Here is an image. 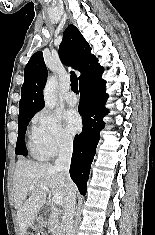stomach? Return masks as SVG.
Listing matches in <instances>:
<instances>
[{"mask_svg":"<svg viewBox=\"0 0 155 235\" xmlns=\"http://www.w3.org/2000/svg\"><path fill=\"white\" fill-rule=\"evenodd\" d=\"M46 224L45 220L41 216H37L31 224L34 230L42 228Z\"/></svg>","mask_w":155,"mask_h":235,"instance_id":"0dacf381","label":"stomach"}]
</instances>
